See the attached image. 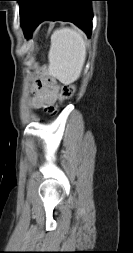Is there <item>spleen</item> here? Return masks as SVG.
<instances>
[{
  "mask_svg": "<svg viewBox=\"0 0 133 253\" xmlns=\"http://www.w3.org/2000/svg\"><path fill=\"white\" fill-rule=\"evenodd\" d=\"M86 53L81 31L69 27L55 30L48 54L50 75L63 84L73 83L81 75Z\"/></svg>",
  "mask_w": 133,
  "mask_h": 253,
  "instance_id": "spleen-1",
  "label": "spleen"
}]
</instances>
